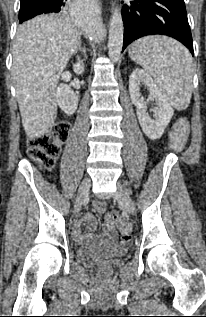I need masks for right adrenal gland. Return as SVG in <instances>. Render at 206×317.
I'll return each instance as SVG.
<instances>
[{
    "mask_svg": "<svg viewBox=\"0 0 206 317\" xmlns=\"http://www.w3.org/2000/svg\"><path fill=\"white\" fill-rule=\"evenodd\" d=\"M78 50L81 51V53L84 55L85 59L87 58V55H86V51L85 49L82 47V44L80 43L79 47H78Z\"/></svg>",
    "mask_w": 206,
    "mask_h": 317,
    "instance_id": "right-adrenal-gland-1",
    "label": "right adrenal gland"
}]
</instances>
